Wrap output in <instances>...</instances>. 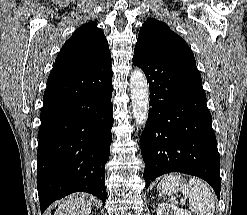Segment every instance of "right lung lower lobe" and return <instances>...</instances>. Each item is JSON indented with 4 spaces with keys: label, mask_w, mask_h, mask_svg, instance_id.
<instances>
[{
    "label": "right lung lower lobe",
    "mask_w": 247,
    "mask_h": 215,
    "mask_svg": "<svg viewBox=\"0 0 247 215\" xmlns=\"http://www.w3.org/2000/svg\"><path fill=\"white\" fill-rule=\"evenodd\" d=\"M111 56L85 69L55 65L43 97L37 150L41 213L84 191L105 204L113 125Z\"/></svg>",
    "instance_id": "1"
}]
</instances>
